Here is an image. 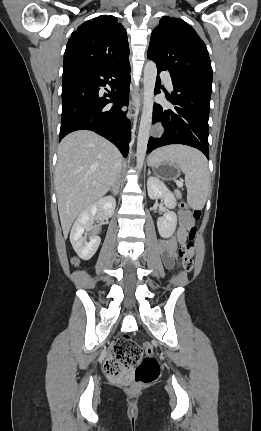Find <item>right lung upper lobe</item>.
Masks as SVG:
<instances>
[{
	"label": "right lung upper lobe",
	"instance_id": "right-lung-upper-lobe-1",
	"mask_svg": "<svg viewBox=\"0 0 261 431\" xmlns=\"http://www.w3.org/2000/svg\"><path fill=\"white\" fill-rule=\"evenodd\" d=\"M129 58L127 33L114 16L101 15L81 24L68 40L64 69L116 66Z\"/></svg>",
	"mask_w": 261,
	"mask_h": 431
}]
</instances>
